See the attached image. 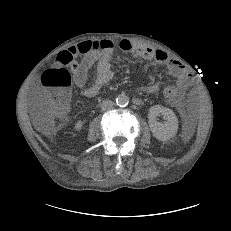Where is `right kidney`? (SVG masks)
Returning a JSON list of instances; mask_svg holds the SVG:
<instances>
[{
  "label": "right kidney",
  "instance_id": "right-kidney-1",
  "mask_svg": "<svg viewBox=\"0 0 231 231\" xmlns=\"http://www.w3.org/2000/svg\"><path fill=\"white\" fill-rule=\"evenodd\" d=\"M82 126H83V122L81 120L77 121L76 124H75V129L77 131H80L82 129Z\"/></svg>",
  "mask_w": 231,
  "mask_h": 231
}]
</instances>
